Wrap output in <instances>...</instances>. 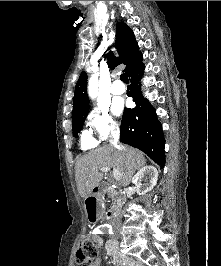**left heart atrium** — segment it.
<instances>
[{
    "label": "left heart atrium",
    "instance_id": "1",
    "mask_svg": "<svg viewBox=\"0 0 221 266\" xmlns=\"http://www.w3.org/2000/svg\"><path fill=\"white\" fill-rule=\"evenodd\" d=\"M114 112L116 114H120L122 112V109H123V103L121 101H118L114 104Z\"/></svg>",
    "mask_w": 221,
    "mask_h": 266
}]
</instances>
